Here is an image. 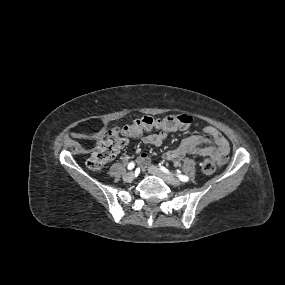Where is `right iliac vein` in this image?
Instances as JSON below:
<instances>
[{
    "label": "right iliac vein",
    "instance_id": "63e3f726",
    "mask_svg": "<svg viewBox=\"0 0 285 285\" xmlns=\"http://www.w3.org/2000/svg\"><path fill=\"white\" fill-rule=\"evenodd\" d=\"M136 175L134 172H129L123 176L125 182L131 183L135 179Z\"/></svg>",
    "mask_w": 285,
    "mask_h": 285
}]
</instances>
